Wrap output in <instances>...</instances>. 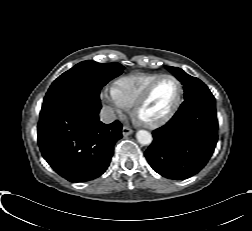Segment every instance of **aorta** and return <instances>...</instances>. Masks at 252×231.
<instances>
[{
	"label": "aorta",
	"instance_id": "obj_1",
	"mask_svg": "<svg viewBox=\"0 0 252 231\" xmlns=\"http://www.w3.org/2000/svg\"><path fill=\"white\" fill-rule=\"evenodd\" d=\"M136 138L141 145H150L153 140L152 135L146 130H139Z\"/></svg>",
	"mask_w": 252,
	"mask_h": 231
}]
</instances>
